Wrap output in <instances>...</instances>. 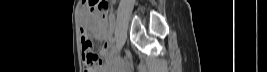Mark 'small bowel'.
Instances as JSON below:
<instances>
[{
	"label": "small bowel",
	"instance_id": "1",
	"mask_svg": "<svg viewBox=\"0 0 267 72\" xmlns=\"http://www.w3.org/2000/svg\"><path fill=\"white\" fill-rule=\"evenodd\" d=\"M113 28V19L110 17L106 20H98L96 21V33L97 36L104 40V44L100 50V57L98 61L99 68L96 69L94 72H101L106 70V59L108 58L109 54V47H110V31ZM88 39L87 34L84 30H82V44L83 40Z\"/></svg>",
	"mask_w": 267,
	"mask_h": 72
}]
</instances>
